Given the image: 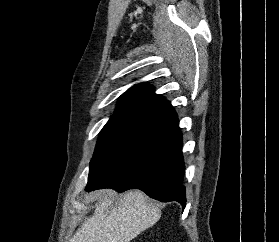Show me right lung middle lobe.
I'll return each instance as SVG.
<instances>
[{
	"label": "right lung middle lobe",
	"instance_id": "obj_1",
	"mask_svg": "<svg viewBox=\"0 0 279 242\" xmlns=\"http://www.w3.org/2000/svg\"><path fill=\"white\" fill-rule=\"evenodd\" d=\"M162 124V118L143 113L114 114L99 134L90 162L88 180L104 177L146 143Z\"/></svg>",
	"mask_w": 279,
	"mask_h": 242
}]
</instances>
